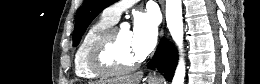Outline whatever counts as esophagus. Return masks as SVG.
<instances>
[{"instance_id": "esophagus-1", "label": "esophagus", "mask_w": 260, "mask_h": 84, "mask_svg": "<svg viewBox=\"0 0 260 84\" xmlns=\"http://www.w3.org/2000/svg\"><path fill=\"white\" fill-rule=\"evenodd\" d=\"M164 3H165V0H160V4H161V7H162V11H164ZM160 77H159V75H158V73L155 71V72H151L150 74H149V79H151V80H157V79H159Z\"/></svg>"}]
</instances>
